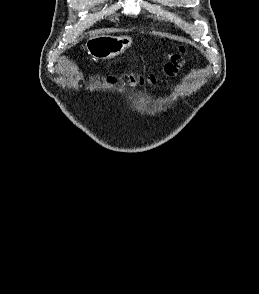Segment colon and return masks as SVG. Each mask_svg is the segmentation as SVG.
<instances>
[{
	"label": "colon",
	"instance_id": "colon-1",
	"mask_svg": "<svg viewBox=\"0 0 259 294\" xmlns=\"http://www.w3.org/2000/svg\"><path fill=\"white\" fill-rule=\"evenodd\" d=\"M183 53H184V48L182 46H180L174 52L168 54L167 61L164 65V72L167 75H173L182 66ZM151 79H152V81H154V76H151ZM130 82L134 83L135 81L133 79H131Z\"/></svg>",
	"mask_w": 259,
	"mask_h": 294
}]
</instances>
